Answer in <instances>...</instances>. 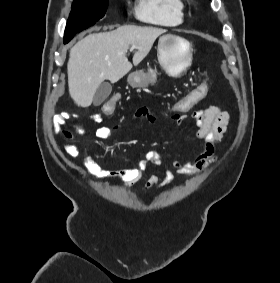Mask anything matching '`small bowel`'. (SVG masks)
<instances>
[{
    "label": "small bowel",
    "mask_w": 280,
    "mask_h": 283,
    "mask_svg": "<svg viewBox=\"0 0 280 283\" xmlns=\"http://www.w3.org/2000/svg\"><path fill=\"white\" fill-rule=\"evenodd\" d=\"M188 112H177L176 116H170L169 112H165V117L177 123L185 120L184 114ZM198 129L195 137L204 142L202 151L191 160L181 162L175 160L171 163V167L164 169L163 178L153 174L149 177L145 184V190H150L154 186H165L174 178V172L192 175L198 173L217 160L215 155V147L220 143L228 133L230 115L228 112L221 110L218 106L211 105L204 110H195L191 112ZM93 120L100 117L95 114L90 116ZM134 119H145L150 124L157 122V117L146 107L136 110L133 115ZM119 126H100L95 130V136L99 140H109L113 137ZM66 152L70 157L76 158L80 155L78 146L71 143L66 148ZM84 165L90 175L96 178H109L122 182L125 186H131L137 183L144 175V172L150 165L161 166L163 159L158 151L150 150L144 154L143 159L134 168L121 170H105L103 169L92 155L86 153L83 155Z\"/></svg>",
    "instance_id": "obj_1"
}]
</instances>
